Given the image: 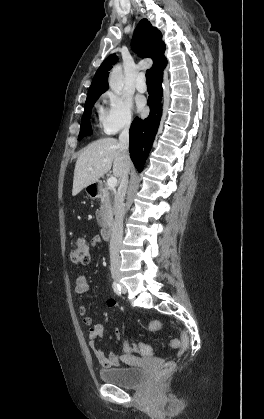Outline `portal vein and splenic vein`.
<instances>
[{"label":"portal vein and splenic vein","mask_w":264,"mask_h":419,"mask_svg":"<svg viewBox=\"0 0 264 419\" xmlns=\"http://www.w3.org/2000/svg\"><path fill=\"white\" fill-rule=\"evenodd\" d=\"M90 170H92V169L90 168ZM107 185H108V188H109V189H113V188H115V187H116V185H117V178H116V177H110V178L107 180Z\"/></svg>","instance_id":"1"}]
</instances>
